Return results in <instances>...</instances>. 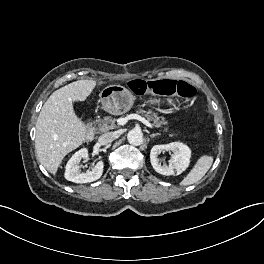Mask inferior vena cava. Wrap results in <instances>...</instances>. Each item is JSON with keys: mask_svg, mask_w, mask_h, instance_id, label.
<instances>
[{"mask_svg": "<svg viewBox=\"0 0 264 264\" xmlns=\"http://www.w3.org/2000/svg\"><path fill=\"white\" fill-rule=\"evenodd\" d=\"M115 138H116V135L112 132H109V133L102 134L99 137L98 142L101 145H107V144L113 142Z\"/></svg>", "mask_w": 264, "mask_h": 264, "instance_id": "inferior-vena-cava-1", "label": "inferior vena cava"}]
</instances>
